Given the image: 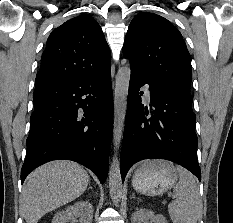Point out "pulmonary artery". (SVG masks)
<instances>
[{
  "mask_svg": "<svg viewBox=\"0 0 233 223\" xmlns=\"http://www.w3.org/2000/svg\"><path fill=\"white\" fill-rule=\"evenodd\" d=\"M144 91H145L146 95L149 97L150 93H151L149 84L146 83L144 85Z\"/></svg>",
  "mask_w": 233,
  "mask_h": 223,
  "instance_id": "1",
  "label": "pulmonary artery"
}]
</instances>
